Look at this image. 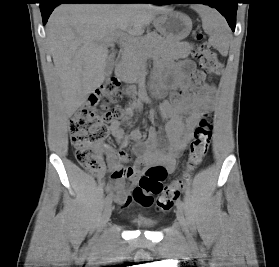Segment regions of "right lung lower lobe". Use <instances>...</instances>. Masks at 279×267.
Listing matches in <instances>:
<instances>
[{"mask_svg":"<svg viewBox=\"0 0 279 267\" xmlns=\"http://www.w3.org/2000/svg\"><path fill=\"white\" fill-rule=\"evenodd\" d=\"M142 0H42L40 10L43 24H46L50 14L62 3H141Z\"/></svg>","mask_w":279,"mask_h":267,"instance_id":"obj_1","label":"right lung lower lobe"}]
</instances>
